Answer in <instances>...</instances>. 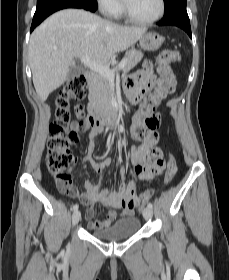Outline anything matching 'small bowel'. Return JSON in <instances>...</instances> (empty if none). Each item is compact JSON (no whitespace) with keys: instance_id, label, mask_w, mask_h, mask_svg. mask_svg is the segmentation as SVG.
<instances>
[{"instance_id":"obj_1","label":"small bowel","mask_w":229,"mask_h":280,"mask_svg":"<svg viewBox=\"0 0 229 280\" xmlns=\"http://www.w3.org/2000/svg\"><path fill=\"white\" fill-rule=\"evenodd\" d=\"M175 86V79L173 80ZM153 92L154 102L151 105L141 104L139 112L146 115H152L153 108L158 105L163 99L170 94L165 88L161 86L160 81L156 79L153 72V66L146 64L143 68L126 78L124 84V91L126 99L131 102H137L141 99L143 93L155 87ZM102 131L92 128L89 134V143L87 146L86 154L83 158V162L88 164L95 172L100 176L98 183L86 181L84 183V191L75 190L68 192V195L81 202L86 207L85 216L87 219H91L94 216V206L99 204L103 207L113 208L107 214V217L103 220H97L88 223V228L103 229L110 226L117 218V212L114 209L121 211L122 216L130 217L135 214V208L128 206V201L131 199H137V187L135 181H130L128 184L121 183L117 190L109 191L102 187V180L105 171L113 164L112 158H106L101 162H96L93 157V151L96 148L95 137L101 134ZM159 139V133L157 129L148 130L144 136L143 144L132 148L131 150V163L133 170L139 181L152 180L155 178V174L147 169L145 164L146 156L150 148L154 147ZM120 174L123 176L125 170L120 168Z\"/></svg>"}]
</instances>
